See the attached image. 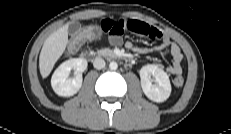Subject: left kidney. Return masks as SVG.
<instances>
[{
    "mask_svg": "<svg viewBox=\"0 0 231 134\" xmlns=\"http://www.w3.org/2000/svg\"><path fill=\"white\" fill-rule=\"evenodd\" d=\"M141 87L144 94L152 101L160 103L166 101L171 94L169 76L154 64H148L140 69ZM153 76L154 79L151 78ZM152 81L155 84H152Z\"/></svg>",
    "mask_w": 231,
    "mask_h": 134,
    "instance_id": "obj_1",
    "label": "left kidney"
}]
</instances>
